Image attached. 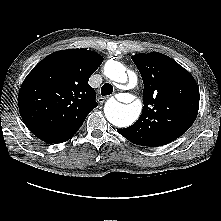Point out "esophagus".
I'll return each instance as SVG.
<instances>
[{
  "instance_id": "obj_1",
  "label": "esophagus",
  "mask_w": 221,
  "mask_h": 221,
  "mask_svg": "<svg viewBox=\"0 0 221 221\" xmlns=\"http://www.w3.org/2000/svg\"><path fill=\"white\" fill-rule=\"evenodd\" d=\"M107 98H108V97H102V96H100V97H98L97 101H98L99 104H103V103L106 101Z\"/></svg>"
}]
</instances>
